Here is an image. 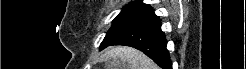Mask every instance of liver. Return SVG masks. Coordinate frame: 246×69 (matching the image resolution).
Segmentation results:
<instances>
[{
    "label": "liver",
    "mask_w": 246,
    "mask_h": 69,
    "mask_svg": "<svg viewBox=\"0 0 246 69\" xmlns=\"http://www.w3.org/2000/svg\"><path fill=\"white\" fill-rule=\"evenodd\" d=\"M104 57L115 60L117 69H159L149 57L132 47H113Z\"/></svg>",
    "instance_id": "liver-1"
}]
</instances>
